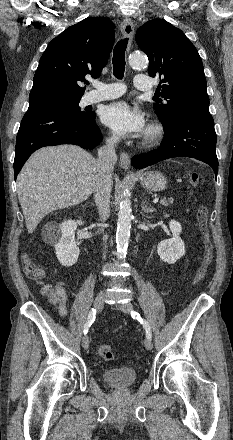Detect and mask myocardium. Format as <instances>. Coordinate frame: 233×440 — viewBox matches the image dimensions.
Wrapping results in <instances>:
<instances>
[{"label":"myocardium","mask_w":233,"mask_h":440,"mask_svg":"<svg viewBox=\"0 0 233 440\" xmlns=\"http://www.w3.org/2000/svg\"><path fill=\"white\" fill-rule=\"evenodd\" d=\"M164 135V128L158 123H152L147 128L142 144L144 146H153L157 144Z\"/></svg>","instance_id":"1"}]
</instances>
